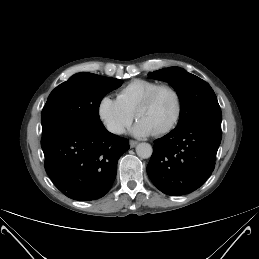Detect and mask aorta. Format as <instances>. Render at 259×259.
Listing matches in <instances>:
<instances>
[{
  "label": "aorta",
  "mask_w": 259,
  "mask_h": 259,
  "mask_svg": "<svg viewBox=\"0 0 259 259\" xmlns=\"http://www.w3.org/2000/svg\"><path fill=\"white\" fill-rule=\"evenodd\" d=\"M153 152L152 146L149 143H139L136 146V153L140 158L147 159L151 157Z\"/></svg>",
  "instance_id": "aorta-1"
}]
</instances>
